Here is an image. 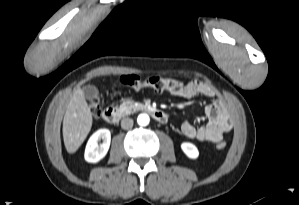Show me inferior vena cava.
<instances>
[{"label":"inferior vena cava","instance_id":"inferior-vena-cava-1","mask_svg":"<svg viewBox=\"0 0 299 205\" xmlns=\"http://www.w3.org/2000/svg\"><path fill=\"white\" fill-rule=\"evenodd\" d=\"M121 127L126 130L131 129L133 127V119L123 118L121 121Z\"/></svg>","mask_w":299,"mask_h":205}]
</instances>
